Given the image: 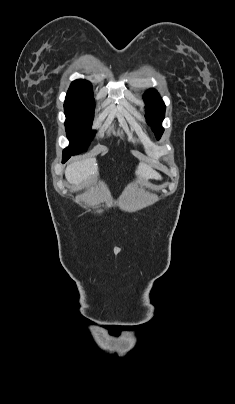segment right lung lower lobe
I'll return each instance as SVG.
<instances>
[{
    "instance_id": "right-lung-lower-lobe-1",
    "label": "right lung lower lobe",
    "mask_w": 235,
    "mask_h": 404,
    "mask_svg": "<svg viewBox=\"0 0 235 404\" xmlns=\"http://www.w3.org/2000/svg\"><path fill=\"white\" fill-rule=\"evenodd\" d=\"M70 157H71V156H63L62 162H63V163L66 162Z\"/></svg>"
}]
</instances>
